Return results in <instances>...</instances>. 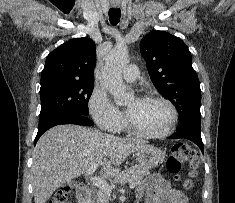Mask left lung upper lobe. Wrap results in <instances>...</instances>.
Listing matches in <instances>:
<instances>
[{
    "label": "left lung upper lobe",
    "instance_id": "left-lung-upper-lobe-1",
    "mask_svg": "<svg viewBox=\"0 0 235 203\" xmlns=\"http://www.w3.org/2000/svg\"><path fill=\"white\" fill-rule=\"evenodd\" d=\"M149 75L160 94L179 113V127L200 126L201 90L186 44L165 31H151L140 42Z\"/></svg>",
    "mask_w": 235,
    "mask_h": 203
}]
</instances>
